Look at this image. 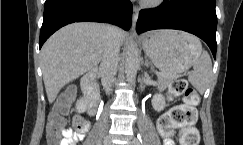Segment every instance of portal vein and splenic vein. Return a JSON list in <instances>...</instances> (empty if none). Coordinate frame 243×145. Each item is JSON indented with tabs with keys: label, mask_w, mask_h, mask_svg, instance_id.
Here are the masks:
<instances>
[{
	"label": "portal vein and splenic vein",
	"mask_w": 243,
	"mask_h": 145,
	"mask_svg": "<svg viewBox=\"0 0 243 145\" xmlns=\"http://www.w3.org/2000/svg\"><path fill=\"white\" fill-rule=\"evenodd\" d=\"M157 75L160 76V75H162V74H161V73H158Z\"/></svg>",
	"instance_id": "portal-vein-and-splenic-vein-1"
}]
</instances>
